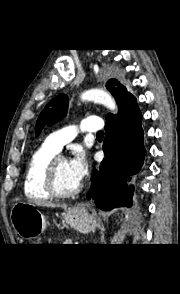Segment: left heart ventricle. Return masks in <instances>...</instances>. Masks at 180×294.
<instances>
[{"label":"left heart ventricle","instance_id":"obj_1","mask_svg":"<svg viewBox=\"0 0 180 294\" xmlns=\"http://www.w3.org/2000/svg\"><path fill=\"white\" fill-rule=\"evenodd\" d=\"M56 182L59 190L70 192L75 190L80 183L74 178L68 161H61L56 171Z\"/></svg>","mask_w":180,"mask_h":294}]
</instances>
